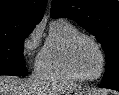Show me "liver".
Instances as JSON below:
<instances>
[{"mask_svg": "<svg viewBox=\"0 0 119 95\" xmlns=\"http://www.w3.org/2000/svg\"><path fill=\"white\" fill-rule=\"evenodd\" d=\"M76 88V84L54 80L45 75L36 74L28 79L0 76V95H67Z\"/></svg>", "mask_w": 119, "mask_h": 95, "instance_id": "liver-1", "label": "liver"}]
</instances>
